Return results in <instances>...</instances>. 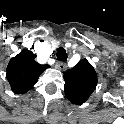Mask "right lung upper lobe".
<instances>
[{"label": "right lung upper lobe", "mask_w": 124, "mask_h": 124, "mask_svg": "<svg viewBox=\"0 0 124 124\" xmlns=\"http://www.w3.org/2000/svg\"><path fill=\"white\" fill-rule=\"evenodd\" d=\"M35 57L36 54L24 49L9 61L6 78L14 93L27 92L36 84L40 74L50 67L39 64Z\"/></svg>", "instance_id": "right-lung-upper-lobe-1"}]
</instances>
